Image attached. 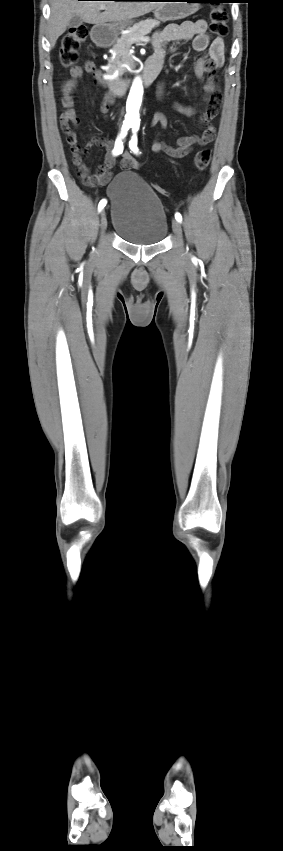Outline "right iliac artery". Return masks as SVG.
<instances>
[{
	"instance_id": "obj_1",
	"label": "right iliac artery",
	"mask_w": 283,
	"mask_h": 851,
	"mask_svg": "<svg viewBox=\"0 0 283 851\" xmlns=\"http://www.w3.org/2000/svg\"><path fill=\"white\" fill-rule=\"evenodd\" d=\"M130 127L131 126L129 124H123L122 129H121V133L115 141V146H114V149L112 151L113 155L117 156V155H119L123 152L124 146H123L122 139L126 136L127 131L129 130ZM106 203H107L106 199H102L99 202L98 210L101 211L105 207Z\"/></svg>"
}]
</instances>
